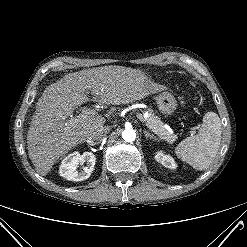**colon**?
I'll return each mask as SVG.
<instances>
[{"instance_id": "colon-1", "label": "colon", "mask_w": 247, "mask_h": 247, "mask_svg": "<svg viewBox=\"0 0 247 247\" xmlns=\"http://www.w3.org/2000/svg\"><path fill=\"white\" fill-rule=\"evenodd\" d=\"M180 102H181V104H185V103H186L185 98H184V97H182V98H181V100H180Z\"/></svg>"}]
</instances>
